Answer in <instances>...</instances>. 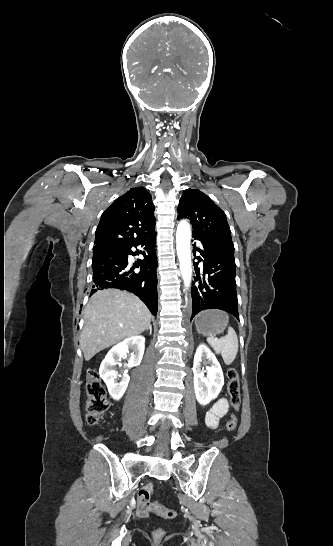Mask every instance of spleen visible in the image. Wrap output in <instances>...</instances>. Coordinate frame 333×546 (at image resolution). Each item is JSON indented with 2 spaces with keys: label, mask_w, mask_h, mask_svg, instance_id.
<instances>
[{
  "label": "spleen",
  "mask_w": 333,
  "mask_h": 546,
  "mask_svg": "<svg viewBox=\"0 0 333 546\" xmlns=\"http://www.w3.org/2000/svg\"><path fill=\"white\" fill-rule=\"evenodd\" d=\"M223 313L226 317H228L225 312ZM207 342L216 353L221 354L226 365L232 364L236 359L238 353V337L232 327L228 328L227 334L224 337L218 339L213 336H209L207 338Z\"/></svg>",
  "instance_id": "3e777b00"
}]
</instances>
